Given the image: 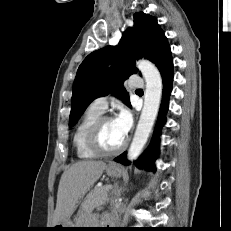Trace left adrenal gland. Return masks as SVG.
<instances>
[{"label": "left adrenal gland", "instance_id": "a2214340", "mask_svg": "<svg viewBox=\"0 0 231 231\" xmlns=\"http://www.w3.org/2000/svg\"><path fill=\"white\" fill-rule=\"evenodd\" d=\"M127 188H122V187H119L118 184H115L114 185V193L117 195V196H120V194L122 192H124Z\"/></svg>", "mask_w": 231, "mask_h": 231}]
</instances>
